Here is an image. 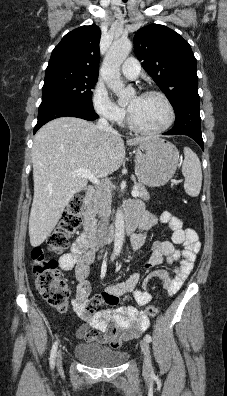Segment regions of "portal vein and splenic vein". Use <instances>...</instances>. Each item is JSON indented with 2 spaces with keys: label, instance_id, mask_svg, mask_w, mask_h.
<instances>
[{
  "label": "portal vein and splenic vein",
  "instance_id": "1",
  "mask_svg": "<svg viewBox=\"0 0 227 396\" xmlns=\"http://www.w3.org/2000/svg\"><path fill=\"white\" fill-rule=\"evenodd\" d=\"M72 176L87 178L94 184H100V181L98 180L97 177H95L91 172H89L88 170L83 169V168H80V169L72 172ZM132 196H134V197L139 196V192L136 189H133Z\"/></svg>",
  "mask_w": 227,
  "mask_h": 396
}]
</instances>
